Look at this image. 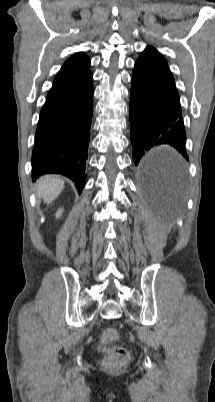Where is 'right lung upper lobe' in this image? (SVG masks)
Wrapping results in <instances>:
<instances>
[{
	"instance_id": "right-lung-upper-lobe-1",
	"label": "right lung upper lobe",
	"mask_w": 215,
	"mask_h": 402,
	"mask_svg": "<svg viewBox=\"0 0 215 402\" xmlns=\"http://www.w3.org/2000/svg\"><path fill=\"white\" fill-rule=\"evenodd\" d=\"M90 59L83 52L71 56L62 66L53 81L47 97L54 96L75 88L90 75Z\"/></svg>"
}]
</instances>
